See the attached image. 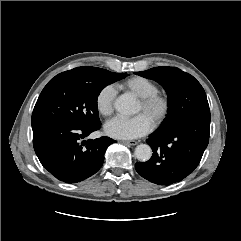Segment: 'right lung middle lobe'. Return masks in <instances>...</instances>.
<instances>
[{
    "label": "right lung middle lobe",
    "mask_w": 241,
    "mask_h": 241,
    "mask_svg": "<svg viewBox=\"0 0 241 241\" xmlns=\"http://www.w3.org/2000/svg\"><path fill=\"white\" fill-rule=\"evenodd\" d=\"M126 76V73L101 68L90 77L56 75L44 87L35 104L32 126L47 122H65L85 128L100 125L97 107L100 91Z\"/></svg>",
    "instance_id": "obj_1"
}]
</instances>
